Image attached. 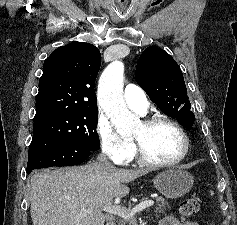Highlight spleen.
Returning a JSON list of instances; mask_svg holds the SVG:
<instances>
[{
    "label": "spleen",
    "instance_id": "spleen-1",
    "mask_svg": "<svg viewBox=\"0 0 237 225\" xmlns=\"http://www.w3.org/2000/svg\"><path fill=\"white\" fill-rule=\"evenodd\" d=\"M210 193H211V195H213L214 193H213V191H210Z\"/></svg>",
    "mask_w": 237,
    "mask_h": 225
}]
</instances>
